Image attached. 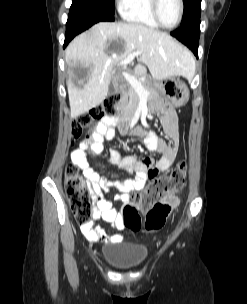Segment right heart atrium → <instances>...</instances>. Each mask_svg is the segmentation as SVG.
<instances>
[{"mask_svg": "<svg viewBox=\"0 0 247 304\" xmlns=\"http://www.w3.org/2000/svg\"><path fill=\"white\" fill-rule=\"evenodd\" d=\"M117 1L122 5L123 0H117Z\"/></svg>", "mask_w": 247, "mask_h": 304, "instance_id": "right-heart-atrium-1", "label": "right heart atrium"}]
</instances>
